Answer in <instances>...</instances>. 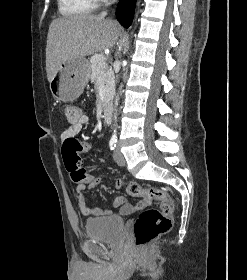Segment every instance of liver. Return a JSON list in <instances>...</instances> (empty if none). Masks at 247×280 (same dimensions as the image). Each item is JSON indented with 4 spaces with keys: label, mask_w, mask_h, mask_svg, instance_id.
Wrapping results in <instances>:
<instances>
[{
    "label": "liver",
    "mask_w": 247,
    "mask_h": 280,
    "mask_svg": "<svg viewBox=\"0 0 247 280\" xmlns=\"http://www.w3.org/2000/svg\"><path fill=\"white\" fill-rule=\"evenodd\" d=\"M120 25L104 15H72L52 21L47 35L46 72L50 82L69 59L113 47Z\"/></svg>",
    "instance_id": "6515ba94"
}]
</instances>
